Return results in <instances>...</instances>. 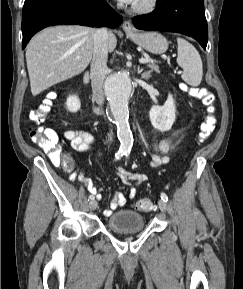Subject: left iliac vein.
<instances>
[{"mask_svg":"<svg viewBox=\"0 0 243 289\" xmlns=\"http://www.w3.org/2000/svg\"><path fill=\"white\" fill-rule=\"evenodd\" d=\"M158 206H159L161 211H166L167 205H166V202L164 200H162V199L159 200Z\"/></svg>","mask_w":243,"mask_h":289,"instance_id":"4c4485c4","label":"left iliac vein"}]
</instances>
